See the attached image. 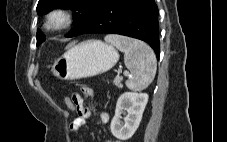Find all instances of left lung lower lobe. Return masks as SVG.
Listing matches in <instances>:
<instances>
[{"label":"left lung lower lobe","instance_id":"left-lung-lower-lobe-1","mask_svg":"<svg viewBox=\"0 0 227 142\" xmlns=\"http://www.w3.org/2000/svg\"><path fill=\"white\" fill-rule=\"evenodd\" d=\"M157 17L154 0H107L73 36L108 33L137 38L147 42L159 58Z\"/></svg>","mask_w":227,"mask_h":142}]
</instances>
